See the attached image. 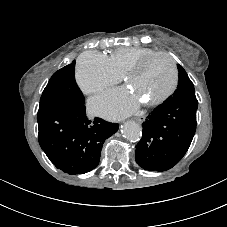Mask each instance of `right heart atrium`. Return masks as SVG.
<instances>
[{
  "mask_svg": "<svg viewBox=\"0 0 227 227\" xmlns=\"http://www.w3.org/2000/svg\"><path fill=\"white\" fill-rule=\"evenodd\" d=\"M75 78L80 89L85 94L92 95L117 83L120 75L113 70L105 54L89 50L79 56Z\"/></svg>",
  "mask_w": 227,
  "mask_h": 227,
  "instance_id": "right-heart-atrium-1",
  "label": "right heart atrium"
}]
</instances>
